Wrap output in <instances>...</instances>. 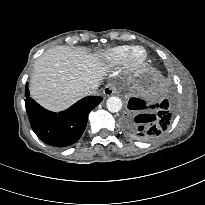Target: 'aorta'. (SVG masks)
Masks as SVG:
<instances>
[{"label": "aorta", "mask_w": 205, "mask_h": 205, "mask_svg": "<svg viewBox=\"0 0 205 205\" xmlns=\"http://www.w3.org/2000/svg\"><path fill=\"white\" fill-rule=\"evenodd\" d=\"M106 106L110 112L116 113L122 109V101L119 97L111 96L107 99Z\"/></svg>", "instance_id": "aorta-1"}]
</instances>
